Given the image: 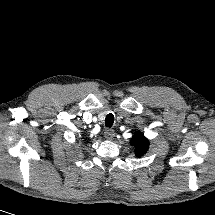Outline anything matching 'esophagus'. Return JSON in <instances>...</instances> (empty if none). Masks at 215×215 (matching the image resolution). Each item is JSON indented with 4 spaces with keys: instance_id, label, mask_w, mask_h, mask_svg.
I'll return each mask as SVG.
<instances>
[{
    "instance_id": "esophagus-1",
    "label": "esophagus",
    "mask_w": 215,
    "mask_h": 215,
    "mask_svg": "<svg viewBox=\"0 0 215 215\" xmlns=\"http://www.w3.org/2000/svg\"><path fill=\"white\" fill-rule=\"evenodd\" d=\"M114 136H115V132L112 129H107L104 132V137L108 140H112L114 138Z\"/></svg>"
}]
</instances>
